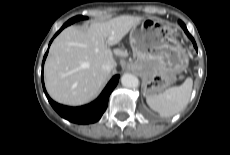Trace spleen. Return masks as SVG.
Instances as JSON below:
<instances>
[{
    "mask_svg": "<svg viewBox=\"0 0 230 155\" xmlns=\"http://www.w3.org/2000/svg\"><path fill=\"white\" fill-rule=\"evenodd\" d=\"M193 80L188 77L180 86L147 96V104L162 117H170L184 109L190 99Z\"/></svg>",
    "mask_w": 230,
    "mask_h": 155,
    "instance_id": "3e777b00",
    "label": "spleen"
}]
</instances>
